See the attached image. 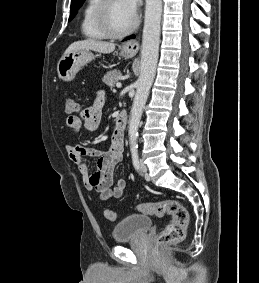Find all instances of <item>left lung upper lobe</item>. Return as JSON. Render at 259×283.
<instances>
[{"label": "left lung upper lobe", "mask_w": 259, "mask_h": 283, "mask_svg": "<svg viewBox=\"0 0 259 283\" xmlns=\"http://www.w3.org/2000/svg\"><path fill=\"white\" fill-rule=\"evenodd\" d=\"M85 0H72L71 1V8H70V18L69 21L74 18L78 9L82 6Z\"/></svg>", "instance_id": "left-lung-upper-lobe-1"}]
</instances>
